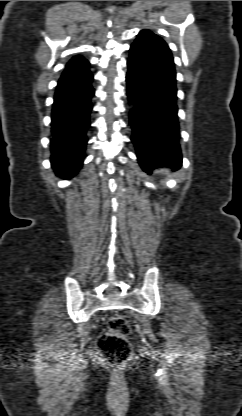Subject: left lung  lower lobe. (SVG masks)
I'll return each mask as SVG.
<instances>
[{
	"mask_svg": "<svg viewBox=\"0 0 242 416\" xmlns=\"http://www.w3.org/2000/svg\"><path fill=\"white\" fill-rule=\"evenodd\" d=\"M126 75L131 141L138 162L147 173L182 164L179 146L176 72L169 47L159 36L143 30L130 47Z\"/></svg>",
	"mask_w": 242,
	"mask_h": 416,
	"instance_id": "obj_1",
	"label": "left lung lower lobe"
}]
</instances>
